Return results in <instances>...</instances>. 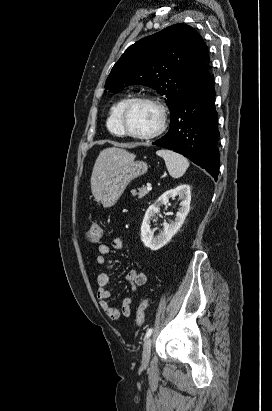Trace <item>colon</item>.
<instances>
[{
  "label": "colon",
  "mask_w": 272,
  "mask_h": 411,
  "mask_svg": "<svg viewBox=\"0 0 272 411\" xmlns=\"http://www.w3.org/2000/svg\"><path fill=\"white\" fill-rule=\"evenodd\" d=\"M102 236V227L97 221H93L89 227L87 237L91 242H97ZM149 306V300H143L137 308L136 311V323L139 327L144 324L145 313Z\"/></svg>",
  "instance_id": "obj_1"
}]
</instances>
